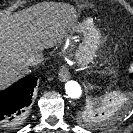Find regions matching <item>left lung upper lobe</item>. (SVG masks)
Here are the masks:
<instances>
[{
	"label": "left lung upper lobe",
	"instance_id": "5c2ea615",
	"mask_svg": "<svg viewBox=\"0 0 133 133\" xmlns=\"http://www.w3.org/2000/svg\"><path fill=\"white\" fill-rule=\"evenodd\" d=\"M130 78L133 79V73L130 74ZM114 112L115 109L113 108L105 107L97 110L95 108L86 106L79 114L78 121L79 123L87 127H99L115 118L116 115ZM101 121H105V123L102 124Z\"/></svg>",
	"mask_w": 133,
	"mask_h": 133
}]
</instances>
